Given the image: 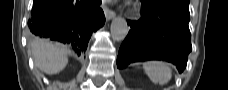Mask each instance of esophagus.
I'll use <instances>...</instances> for the list:
<instances>
[{
  "mask_svg": "<svg viewBox=\"0 0 228 90\" xmlns=\"http://www.w3.org/2000/svg\"><path fill=\"white\" fill-rule=\"evenodd\" d=\"M103 11L107 21L113 19L116 15L115 12L108 8L106 5H103Z\"/></svg>",
  "mask_w": 228,
  "mask_h": 90,
  "instance_id": "obj_1",
  "label": "esophagus"
}]
</instances>
